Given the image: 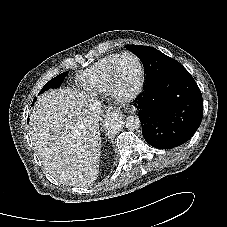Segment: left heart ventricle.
<instances>
[{"mask_svg": "<svg viewBox=\"0 0 227 227\" xmlns=\"http://www.w3.org/2000/svg\"><path fill=\"white\" fill-rule=\"evenodd\" d=\"M139 78V67L131 56L122 58L116 68V81L124 92H130Z\"/></svg>", "mask_w": 227, "mask_h": 227, "instance_id": "left-heart-ventricle-1", "label": "left heart ventricle"}]
</instances>
